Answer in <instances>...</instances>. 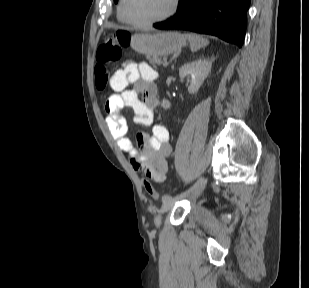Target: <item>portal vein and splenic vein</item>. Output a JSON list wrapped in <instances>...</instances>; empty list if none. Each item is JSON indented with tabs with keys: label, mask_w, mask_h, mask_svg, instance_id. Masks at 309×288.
I'll use <instances>...</instances> for the list:
<instances>
[{
	"label": "portal vein and splenic vein",
	"mask_w": 309,
	"mask_h": 288,
	"mask_svg": "<svg viewBox=\"0 0 309 288\" xmlns=\"http://www.w3.org/2000/svg\"><path fill=\"white\" fill-rule=\"evenodd\" d=\"M163 61H164L163 65H167V58H163Z\"/></svg>",
	"instance_id": "1"
}]
</instances>
